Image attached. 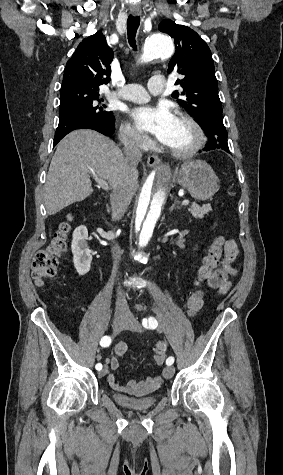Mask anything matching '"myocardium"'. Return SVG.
Instances as JSON below:
<instances>
[{
    "instance_id": "myocardium-1",
    "label": "myocardium",
    "mask_w": 283,
    "mask_h": 475,
    "mask_svg": "<svg viewBox=\"0 0 283 475\" xmlns=\"http://www.w3.org/2000/svg\"><path fill=\"white\" fill-rule=\"evenodd\" d=\"M178 117L184 120L187 124H189L193 128L195 132L194 141L188 148L184 150H180V151L171 150L164 143H163V147L171 157L177 160H184V159L193 157L201 150L206 140V134L202 125L192 115L186 112H179Z\"/></svg>"
}]
</instances>
